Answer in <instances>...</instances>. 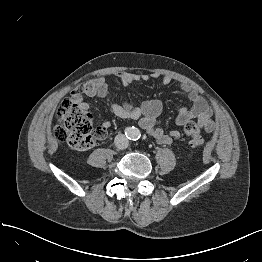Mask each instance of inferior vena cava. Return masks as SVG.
<instances>
[{"mask_svg":"<svg viewBox=\"0 0 262 262\" xmlns=\"http://www.w3.org/2000/svg\"><path fill=\"white\" fill-rule=\"evenodd\" d=\"M114 144L118 149H126L129 145V141L124 134H117L114 139Z\"/></svg>","mask_w":262,"mask_h":262,"instance_id":"602c4592","label":"inferior vena cava"}]
</instances>
